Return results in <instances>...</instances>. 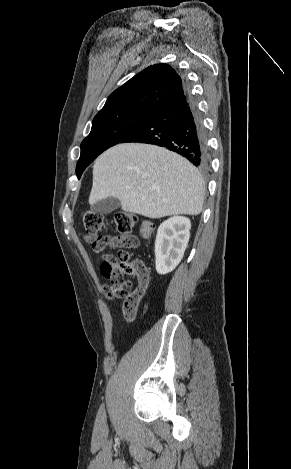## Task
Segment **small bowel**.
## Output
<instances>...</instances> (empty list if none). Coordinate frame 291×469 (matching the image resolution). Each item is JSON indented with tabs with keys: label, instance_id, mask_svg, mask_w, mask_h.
<instances>
[{
	"label": "small bowel",
	"instance_id": "c3829d8e",
	"mask_svg": "<svg viewBox=\"0 0 291 469\" xmlns=\"http://www.w3.org/2000/svg\"><path fill=\"white\" fill-rule=\"evenodd\" d=\"M87 239H88V238H87ZM133 240H134V242H135V244H136V239H135L134 237H133ZM106 256H110V255H106ZM148 281H149V278H148V274H147L145 278L140 279V280L138 281V285H139L141 288H143L144 291H145V289H146L147 286H148Z\"/></svg>",
	"mask_w": 291,
	"mask_h": 469
}]
</instances>
